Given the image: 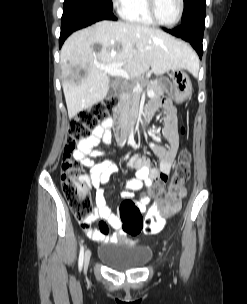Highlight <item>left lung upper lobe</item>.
<instances>
[{
    "label": "left lung upper lobe",
    "instance_id": "5c2ea615",
    "mask_svg": "<svg viewBox=\"0 0 247 304\" xmlns=\"http://www.w3.org/2000/svg\"><path fill=\"white\" fill-rule=\"evenodd\" d=\"M206 0H184V11L181 22H186L195 12L204 10Z\"/></svg>",
    "mask_w": 247,
    "mask_h": 304
}]
</instances>
